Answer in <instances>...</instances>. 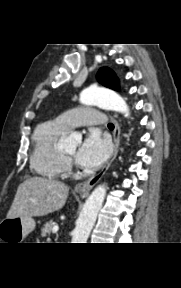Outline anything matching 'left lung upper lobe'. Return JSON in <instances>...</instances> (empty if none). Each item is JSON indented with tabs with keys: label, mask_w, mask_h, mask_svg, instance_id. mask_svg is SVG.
Wrapping results in <instances>:
<instances>
[{
	"label": "left lung upper lobe",
	"mask_w": 181,
	"mask_h": 288,
	"mask_svg": "<svg viewBox=\"0 0 181 288\" xmlns=\"http://www.w3.org/2000/svg\"><path fill=\"white\" fill-rule=\"evenodd\" d=\"M98 82L113 90H119V80L116 74L108 67H103L97 74Z\"/></svg>",
	"instance_id": "left-lung-upper-lobe-1"
}]
</instances>
